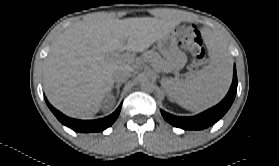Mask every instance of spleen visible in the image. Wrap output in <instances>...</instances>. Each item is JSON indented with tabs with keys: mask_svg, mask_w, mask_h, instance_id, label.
<instances>
[{
	"mask_svg": "<svg viewBox=\"0 0 279 166\" xmlns=\"http://www.w3.org/2000/svg\"><path fill=\"white\" fill-rule=\"evenodd\" d=\"M209 63L185 79L163 78L169 97L188 110H203L217 104L231 84L232 60L225 45L213 33H205Z\"/></svg>",
	"mask_w": 279,
	"mask_h": 166,
	"instance_id": "3e777b00",
	"label": "spleen"
}]
</instances>
